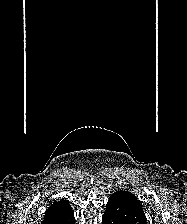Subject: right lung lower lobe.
I'll use <instances>...</instances> for the list:
<instances>
[{
  "label": "right lung lower lobe",
  "instance_id": "obj_1",
  "mask_svg": "<svg viewBox=\"0 0 187 224\" xmlns=\"http://www.w3.org/2000/svg\"><path fill=\"white\" fill-rule=\"evenodd\" d=\"M49 224H75L74 212L71 211L68 215L63 216Z\"/></svg>",
  "mask_w": 187,
  "mask_h": 224
}]
</instances>
